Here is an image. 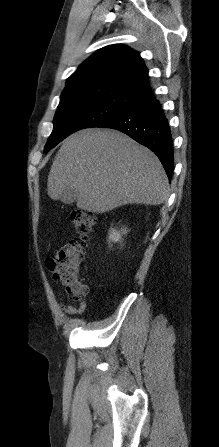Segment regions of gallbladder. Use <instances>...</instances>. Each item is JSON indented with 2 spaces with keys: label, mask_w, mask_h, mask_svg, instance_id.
<instances>
[{
  "label": "gallbladder",
  "mask_w": 219,
  "mask_h": 447,
  "mask_svg": "<svg viewBox=\"0 0 219 447\" xmlns=\"http://www.w3.org/2000/svg\"><path fill=\"white\" fill-rule=\"evenodd\" d=\"M60 200L64 204H72L76 201V192L73 189H68L66 195L62 196Z\"/></svg>",
  "instance_id": "1"
}]
</instances>
